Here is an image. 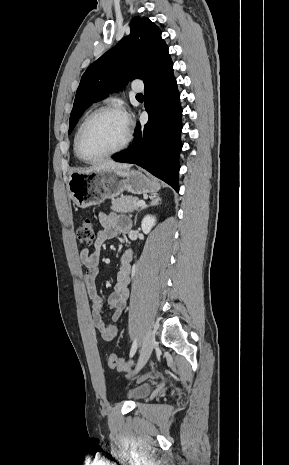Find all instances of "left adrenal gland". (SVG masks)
I'll use <instances>...</instances> for the list:
<instances>
[{
	"instance_id": "obj_1",
	"label": "left adrenal gland",
	"mask_w": 289,
	"mask_h": 465,
	"mask_svg": "<svg viewBox=\"0 0 289 465\" xmlns=\"http://www.w3.org/2000/svg\"><path fill=\"white\" fill-rule=\"evenodd\" d=\"M150 199H151V202H150L148 205H145V206H143L142 208H140V210H139V211L137 212V214L135 215L134 225H136L137 216H138V213H139L141 210H143V209H145V208H147V207H149V206L158 205V204L161 202V198L158 197V196H156V195L151 196Z\"/></svg>"
}]
</instances>
